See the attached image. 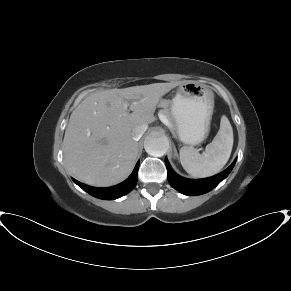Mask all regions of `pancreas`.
Listing matches in <instances>:
<instances>
[{
    "label": "pancreas",
    "mask_w": 291,
    "mask_h": 291,
    "mask_svg": "<svg viewBox=\"0 0 291 291\" xmlns=\"http://www.w3.org/2000/svg\"><path fill=\"white\" fill-rule=\"evenodd\" d=\"M171 102L169 100H161L159 103V107H161V114H163L167 120L173 125L174 121L169 111V106Z\"/></svg>",
    "instance_id": "1"
}]
</instances>
